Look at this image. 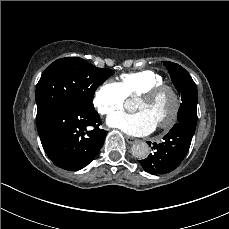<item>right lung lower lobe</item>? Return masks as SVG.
Masks as SVG:
<instances>
[{"label": "right lung lower lobe", "instance_id": "1", "mask_svg": "<svg viewBox=\"0 0 229 229\" xmlns=\"http://www.w3.org/2000/svg\"><path fill=\"white\" fill-rule=\"evenodd\" d=\"M100 116L73 104H63L37 123L43 149L52 162L65 170L87 166L104 143ZM89 127L94 129L90 130Z\"/></svg>", "mask_w": 229, "mask_h": 229}]
</instances>
